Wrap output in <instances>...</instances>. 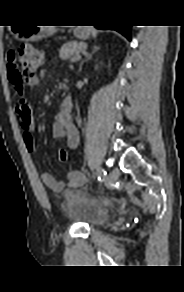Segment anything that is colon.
Here are the masks:
<instances>
[{"mask_svg": "<svg viewBox=\"0 0 184 292\" xmlns=\"http://www.w3.org/2000/svg\"><path fill=\"white\" fill-rule=\"evenodd\" d=\"M45 53L32 46L23 45L8 55V76L13 85L22 86L33 78L38 69L44 64ZM56 159L65 162L67 152L59 149L56 152Z\"/></svg>", "mask_w": 184, "mask_h": 292, "instance_id": "colon-1", "label": "colon"}]
</instances>
